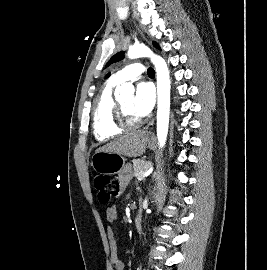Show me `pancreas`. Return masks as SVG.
I'll return each mask as SVG.
<instances>
[{"label":"pancreas","instance_id":"obj_1","mask_svg":"<svg viewBox=\"0 0 267 270\" xmlns=\"http://www.w3.org/2000/svg\"><path fill=\"white\" fill-rule=\"evenodd\" d=\"M151 167L150 161L136 159L133 161L134 176L139 179L140 175Z\"/></svg>","mask_w":267,"mask_h":270}]
</instances>
